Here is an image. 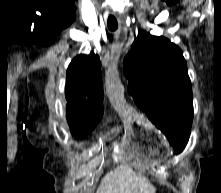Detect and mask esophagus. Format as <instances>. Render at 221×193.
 <instances>
[{
	"mask_svg": "<svg viewBox=\"0 0 221 193\" xmlns=\"http://www.w3.org/2000/svg\"><path fill=\"white\" fill-rule=\"evenodd\" d=\"M117 17L120 19L121 23H123V24H124L123 16H122V15L117 14Z\"/></svg>",
	"mask_w": 221,
	"mask_h": 193,
	"instance_id": "1",
	"label": "esophagus"
}]
</instances>
